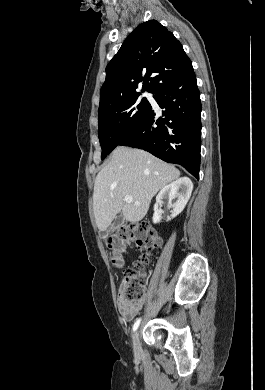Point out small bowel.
Listing matches in <instances>:
<instances>
[{"instance_id": "small-bowel-1", "label": "small bowel", "mask_w": 265, "mask_h": 390, "mask_svg": "<svg viewBox=\"0 0 265 390\" xmlns=\"http://www.w3.org/2000/svg\"><path fill=\"white\" fill-rule=\"evenodd\" d=\"M123 290H124V284H121L119 288L118 309L122 318L125 321H131L142 309L145 303V299L143 298L138 302L128 304L122 298Z\"/></svg>"}]
</instances>
